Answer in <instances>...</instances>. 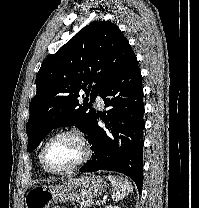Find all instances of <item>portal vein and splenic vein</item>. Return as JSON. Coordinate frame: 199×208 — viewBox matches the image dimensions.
I'll return each mask as SVG.
<instances>
[{
	"label": "portal vein and splenic vein",
	"instance_id": "obj_1",
	"mask_svg": "<svg viewBox=\"0 0 199 208\" xmlns=\"http://www.w3.org/2000/svg\"><path fill=\"white\" fill-rule=\"evenodd\" d=\"M96 204H97V205H100V204H101V202L97 201V202H96Z\"/></svg>",
	"mask_w": 199,
	"mask_h": 208
}]
</instances>
